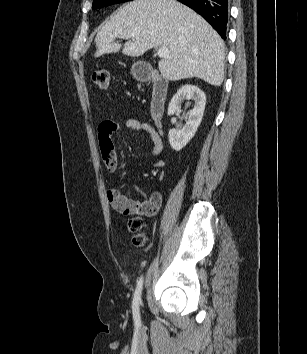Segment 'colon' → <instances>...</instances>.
Listing matches in <instances>:
<instances>
[{
    "label": "colon",
    "mask_w": 307,
    "mask_h": 354,
    "mask_svg": "<svg viewBox=\"0 0 307 354\" xmlns=\"http://www.w3.org/2000/svg\"><path fill=\"white\" fill-rule=\"evenodd\" d=\"M92 79L100 88H107L109 85V72L105 68L95 69L92 72ZM119 211L128 213L126 209ZM141 215L143 214L139 213V215L129 219L127 223V230L132 235L133 244L137 247L143 246L146 242V236L143 233L145 223Z\"/></svg>",
    "instance_id": "1"
}]
</instances>
